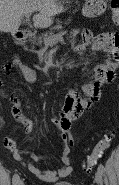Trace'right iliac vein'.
Returning <instances> with one entry per match:
<instances>
[{
	"mask_svg": "<svg viewBox=\"0 0 119 185\" xmlns=\"http://www.w3.org/2000/svg\"><path fill=\"white\" fill-rule=\"evenodd\" d=\"M17 185H24L23 180H19L18 183H17Z\"/></svg>",
	"mask_w": 119,
	"mask_h": 185,
	"instance_id": "63e3f726",
	"label": "right iliac vein"
}]
</instances>
